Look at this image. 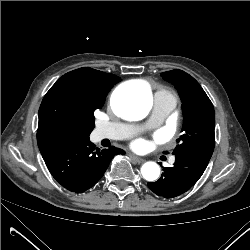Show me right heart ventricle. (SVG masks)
<instances>
[{
  "label": "right heart ventricle",
  "instance_id": "right-heart-ventricle-1",
  "mask_svg": "<svg viewBox=\"0 0 250 250\" xmlns=\"http://www.w3.org/2000/svg\"><path fill=\"white\" fill-rule=\"evenodd\" d=\"M157 93H160V94H163V95H166L175 99L174 95L167 89H159L157 90L156 94Z\"/></svg>",
  "mask_w": 250,
  "mask_h": 250
}]
</instances>
